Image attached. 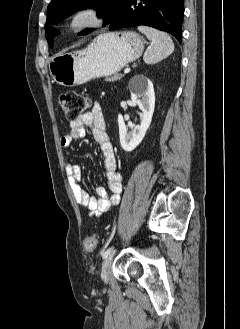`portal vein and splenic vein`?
Returning a JSON list of instances; mask_svg holds the SVG:
<instances>
[{
	"mask_svg": "<svg viewBox=\"0 0 240 329\" xmlns=\"http://www.w3.org/2000/svg\"><path fill=\"white\" fill-rule=\"evenodd\" d=\"M129 72H130V68L129 67H127V68L124 69V74H128Z\"/></svg>",
	"mask_w": 240,
	"mask_h": 329,
	"instance_id": "1",
	"label": "portal vein and splenic vein"
}]
</instances>
